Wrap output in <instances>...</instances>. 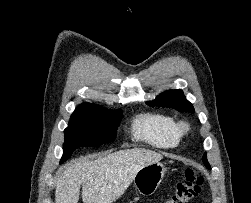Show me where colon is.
Returning <instances> with one entry per match:
<instances>
[{"label":"colon","mask_w":251,"mask_h":203,"mask_svg":"<svg viewBox=\"0 0 251 203\" xmlns=\"http://www.w3.org/2000/svg\"><path fill=\"white\" fill-rule=\"evenodd\" d=\"M203 177L193 169H187L185 178L177 183L174 193L163 203H190L201 192Z\"/></svg>","instance_id":"5ec220e1"}]
</instances>
